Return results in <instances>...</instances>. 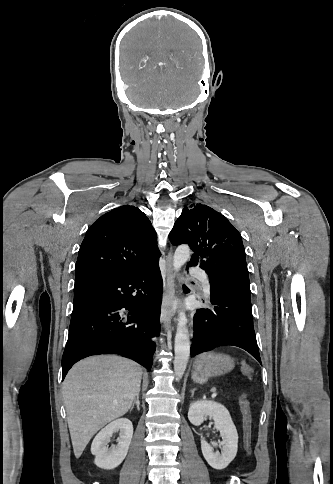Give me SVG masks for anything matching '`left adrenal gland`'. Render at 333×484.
Returning a JSON list of instances; mask_svg holds the SVG:
<instances>
[{
	"instance_id": "obj_1",
	"label": "left adrenal gland",
	"mask_w": 333,
	"mask_h": 484,
	"mask_svg": "<svg viewBox=\"0 0 333 484\" xmlns=\"http://www.w3.org/2000/svg\"><path fill=\"white\" fill-rule=\"evenodd\" d=\"M195 390L196 389L191 390V397H193Z\"/></svg>"
}]
</instances>
